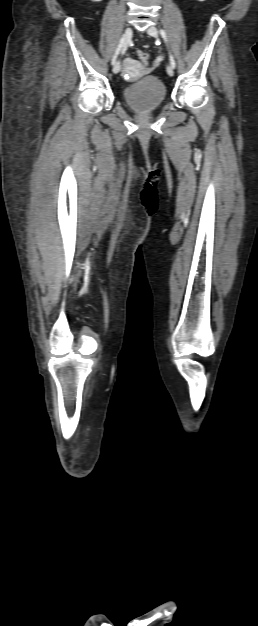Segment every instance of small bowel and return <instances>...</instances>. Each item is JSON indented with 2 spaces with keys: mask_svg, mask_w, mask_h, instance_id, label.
Listing matches in <instances>:
<instances>
[{
  "mask_svg": "<svg viewBox=\"0 0 258 626\" xmlns=\"http://www.w3.org/2000/svg\"><path fill=\"white\" fill-rule=\"evenodd\" d=\"M160 61H161V57L157 59L156 64H158ZM136 67H137V62H135L134 60L128 59L125 63V69L128 73L131 72Z\"/></svg>",
  "mask_w": 258,
  "mask_h": 626,
  "instance_id": "1",
  "label": "small bowel"
}]
</instances>
